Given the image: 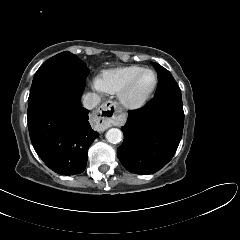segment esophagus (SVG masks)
I'll list each match as a JSON object with an SVG mask.
<instances>
[{
	"instance_id": "34e87169",
	"label": "esophagus",
	"mask_w": 240,
	"mask_h": 240,
	"mask_svg": "<svg viewBox=\"0 0 240 240\" xmlns=\"http://www.w3.org/2000/svg\"><path fill=\"white\" fill-rule=\"evenodd\" d=\"M118 113L115 102H105L96 110L95 121L100 127L107 129L113 125Z\"/></svg>"
}]
</instances>
